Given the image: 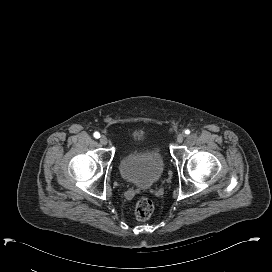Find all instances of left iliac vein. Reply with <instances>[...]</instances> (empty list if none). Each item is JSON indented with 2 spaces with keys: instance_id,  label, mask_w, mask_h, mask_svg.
I'll return each instance as SVG.
<instances>
[{
  "instance_id": "4c4485c4",
  "label": "left iliac vein",
  "mask_w": 272,
  "mask_h": 272,
  "mask_svg": "<svg viewBox=\"0 0 272 272\" xmlns=\"http://www.w3.org/2000/svg\"><path fill=\"white\" fill-rule=\"evenodd\" d=\"M184 134L183 133H180V134H178V136H177V142L178 143H182L183 142V140H184Z\"/></svg>"
}]
</instances>
